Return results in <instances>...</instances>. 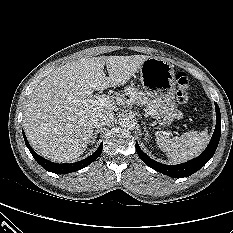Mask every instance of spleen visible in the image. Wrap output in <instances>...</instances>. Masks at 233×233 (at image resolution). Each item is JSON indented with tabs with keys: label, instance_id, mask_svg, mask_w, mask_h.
<instances>
[{
	"label": "spleen",
	"instance_id": "1",
	"mask_svg": "<svg viewBox=\"0 0 233 233\" xmlns=\"http://www.w3.org/2000/svg\"><path fill=\"white\" fill-rule=\"evenodd\" d=\"M208 140L209 135L205 129L203 131H189L174 138L160 135L156 137V144L163 152H166L171 161L181 163L201 153Z\"/></svg>",
	"mask_w": 233,
	"mask_h": 233
}]
</instances>
